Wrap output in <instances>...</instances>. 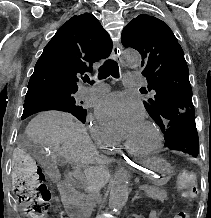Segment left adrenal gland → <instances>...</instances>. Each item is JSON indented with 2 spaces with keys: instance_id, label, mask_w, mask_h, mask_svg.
Returning a JSON list of instances; mask_svg holds the SVG:
<instances>
[{
  "instance_id": "1",
  "label": "left adrenal gland",
  "mask_w": 211,
  "mask_h": 218,
  "mask_svg": "<svg viewBox=\"0 0 211 218\" xmlns=\"http://www.w3.org/2000/svg\"><path fill=\"white\" fill-rule=\"evenodd\" d=\"M139 198H140L139 192H138V190H136L135 196H134V198H132V202H135V200H139Z\"/></svg>"
}]
</instances>
